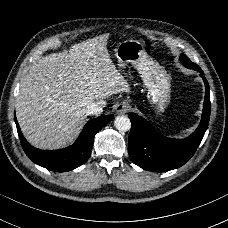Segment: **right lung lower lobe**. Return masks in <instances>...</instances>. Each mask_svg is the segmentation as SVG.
I'll use <instances>...</instances> for the list:
<instances>
[{
  "label": "right lung lower lobe",
  "instance_id": "right-lung-lower-lobe-1",
  "mask_svg": "<svg viewBox=\"0 0 228 228\" xmlns=\"http://www.w3.org/2000/svg\"><path fill=\"white\" fill-rule=\"evenodd\" d=\"M113 118V115H106L88 121L73 145L51 151L32 147L23 137L16 117L15 122L23 150L34 163L51 171L66 172L81 166L88 160L95 134Z\"/></svg>",
  "mask_w": 228,
  "mask_h": 228
}]
</instances>
